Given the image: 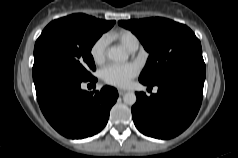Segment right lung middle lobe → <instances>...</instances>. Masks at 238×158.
Returning <instances> with one entry per match:
<instances>
[{
    "label": "right lung middle lobe",
    "instance_id": "1",
    "mask_svg": "<svg viewBox=\"0 0 238 158\" xmlns=\"http://www.w3.org/2000/svg\"><path fill=\"white\" fill-rule=\"evenodd\" d=\"M109 29L94 19L76 15L54 20L35 43L33 67L53 64L83 79H92L96 67L91 48Z\"/></svg>",
    "mask_w": 238,
    "mask_h": 158
}]
</instances>
